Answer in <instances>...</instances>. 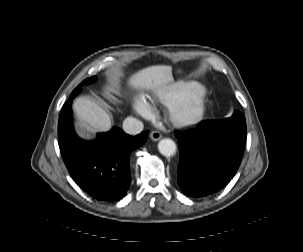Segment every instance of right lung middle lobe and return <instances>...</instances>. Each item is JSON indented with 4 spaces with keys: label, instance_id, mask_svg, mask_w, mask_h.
Masks as SVG:
<instances>
[{
    "label": "right lung middle lobe",
    "instance_id": "right-lung-middle-lobe-1",
    "mask_svg": "<svg viewBox=\"0 0 303 252\" xmlns=\"http://www.w3.org/2000/svg\"><path fill=\"white\" fill-rule=\"evenodd\" d=\"M96 79V76H93L91 78H88L86 80H84L74 91L73 93L74 94H77L80 90H81V87L83 84H86V83H90V82H93L94 80Z\"/></svg>",
    "mask_w": 303,
    "mask_h": 252
}]
</instances>
